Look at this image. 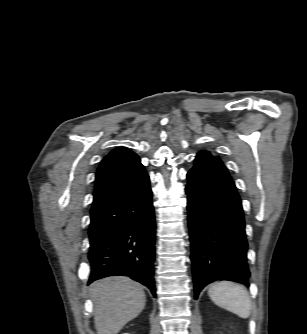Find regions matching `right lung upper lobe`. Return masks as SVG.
<instances>
[{
    "instance_id": "cb5924a9",
    "label": "right lung upper lobe",
    "mask_w": 307,
    "mask_h": 334,
    "mask_svg": "<svg viewBox=\"0 0 307 334\" xmlns=\"http://www.w3.org/2000/svg\"><path fill=\"white\" fill-rule=\"evenodd\" d=\"M147 175L139 157L129 149H114L96 172L92 209L137 184Z\"/></svg>"
}]
</instances>
